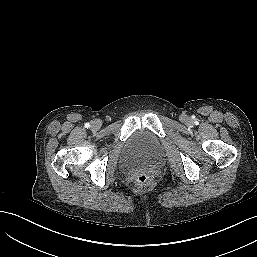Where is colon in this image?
<instances>
[{"label": "colon", "instance_id": "1", "mask_svg": "<svg viewBox=\"0 0 257 257\" xmlns=\"http://www.w3.org/2000/svg\"><path fill=\"white\" fill-rule=\"evenodd\" d=\"M153 184V178L148 174H140L136 178V186L139 189H146L151 187Z\"/></svg>", "mask_w": 257, "mask_h": 257}]
</instances>
